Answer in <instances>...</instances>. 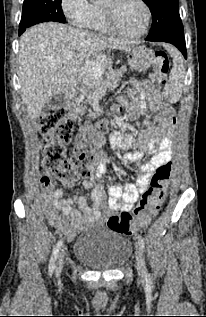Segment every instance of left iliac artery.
Masks as SVG:
<instances>
[{"label":"left iliac artery","instance_id":"1","mask_svg":"<svg viewBox=\"0 0 206 317\" xmlns=\"http://www.w3.org/2000/svg\"><path fill=\"white\" fill-rule=\"evenodd\" d=\"M138 243H139L141 249L144 250V248H145V243H144V240H143L142 237H139V238H138ZM147 279L150 280V275H149V274H147Z\"/></svg>","mask_w":206,"mask_h":317}]
</instances>
